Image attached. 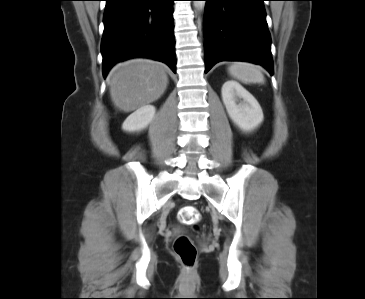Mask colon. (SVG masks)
<instances>
[{
  "mask_svg": "<svg viewBox=\"0 0 365 299\" xmlns=\"http://www.w3.org/2000/svg\"><path fill=\"white\" fill-rule=\"evenodd\" d=\"M178 219L182 224L198 229L200 213L195 206L187 205L180 209ZM174 252L180 262L187 268L192 267L197 258V249L187 235L179 236L174 243Z\"/></svg>",
  "mask_w": 365,
  "mask_h": 299,
  "instance_id": "colon-1",
  "label": "colon"
}]
</instances>
